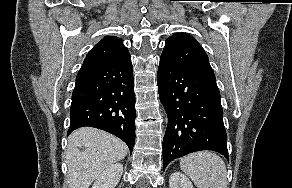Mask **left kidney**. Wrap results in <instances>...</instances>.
Masks as SVG:
<instances>
[{
  "instance_id": "1",
  "label": "left kidney",
  "mask_w": 292,
  "mask_h": 188,
  "mask_svg": "<svg viewBox=\"0 0 292 188\" xmlns=\"http://www.w3.org/2000/svg\"><path fill=\"white\" fill-rule=\"evenodd\" d=\"M170 188H194L191 181L182 173L174 172L169 178Z\"/></svg>"
}]
</instances>
